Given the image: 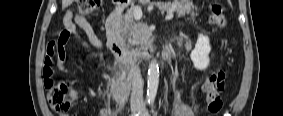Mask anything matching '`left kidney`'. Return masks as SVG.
I'll return each instance as SVG.
<instances>
[{
    "mask_svg": "<svg viewBox=\"0 0 283 116\" xmlns=\"http://www.w3.org/2000/svg\"><path fill=\"white\" fill-rule=\"evenodd\" d=\"M210 51L209 38L203 34H199L195 48L190 55L193 65L197 70H205L208 67Z\"/></svg>",
    "mask_w": 283,
    "mask_h": 116,
    "instance_id": "left-kidney-1",
    "label": "left kidney"
}]
</instances>
